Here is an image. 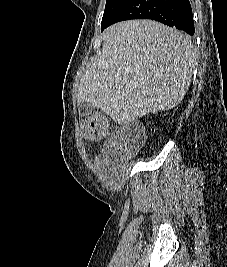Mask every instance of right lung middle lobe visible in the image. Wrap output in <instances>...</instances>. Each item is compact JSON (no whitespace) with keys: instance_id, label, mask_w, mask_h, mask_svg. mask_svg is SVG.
<instances>
[{"instance_id":"obj_1","label":"right lung middle lobe","mask_w":227,"mask_h":267,"mask_svg":"<svg viewBox=\"0 0 227 267\" xmlns=\"http://www.w3.org/2000/svg\"><path fill=\"white\" fill-rule=\"evenodd\" d=\"M127 0H107L102 18L101 29L105 27L125 4Z\"/></svg>"}]
</instances>
